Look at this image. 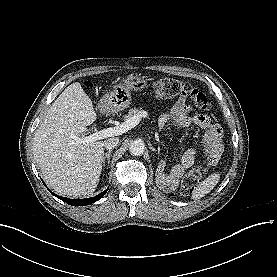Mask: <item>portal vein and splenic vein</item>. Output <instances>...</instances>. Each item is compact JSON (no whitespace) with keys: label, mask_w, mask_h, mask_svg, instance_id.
Wrapping results in <instances>:
<instances>
[{"label":"portal vein and splenic vein","mask_w":277,"mask_h":277,"mask_svg":"<svg viewBox=\"0 0 277 277\" xmlns=\"http://www.w3.org/2000/svg\"><path fill=\"white\" fill-rule=\"evenodd\" d=\"M147 116L148 113L146 111H140L138 114L134 115L116 127L106 128L99 131L97 130L93 134L83 138L75 137V140L80 143H90L107 137L122 135L123 133L138 125L141 119L146 118Z\"/></svg>","instance_id":"portal-vein-and-splenic-vein-1"}]
</instances>
